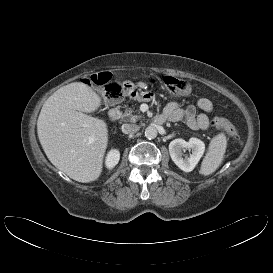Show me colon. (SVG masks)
<instances>
[{
	"mask_svg": "<svg viewBox=\"0 0 273 273\" xmlns=\"http://www.w3.org/2000/svg\"><path fill=\"white\" fill-rule=\"evenodd\" d=\"M112 74L109 72H100L90 77V82L99 86L105 87V96L109 100H117L121 97V86L117 83L111 82ZM167 90L177 96H184L190 91V84L182 79L167 76L163 79ZM214 126L224 130L231 138L238 140L239 132L236 127L227 119L223 117H216L213 120Z\"/></svg>",
	"mask_w": 273,
	"mask_h": 273,
	"instance_id": "obj_1",
	"label": "colon"
}]
</instances>
